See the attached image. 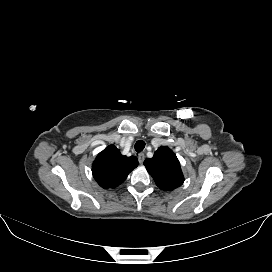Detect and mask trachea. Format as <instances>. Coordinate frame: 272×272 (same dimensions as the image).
<instances>
[{"label":"trachea","mask_w":272,"mask_h":272,"mask_svg":"<svg viewBox=\"0 0 272 272\" xmlns=\"http://www.w3.org/2000/svg\"><path fill=\"white\" fill-rule=\"evenodd\" d=\"M145 148V142L142 140H138L135 144V150L137 152H141Z\"/></svg>","instance_id":"1"}]
</instances>
